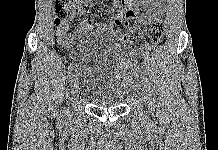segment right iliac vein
<instances>
[{"label": "right iliac vein", "mask_w": 218, "mask_h": 150, "mask_svg": "<svg viewBox=\"0 0 218 150\" xmlns=\"http://www.w3.org/2000/svg\"><path fill=\"white\" fill-rule=\"evenodd\" d=\"M70 94H71V100L76 99L79 94V86L75 76L71 80Z\"/></svg>", "instance_id": "1"}]
</instances>
